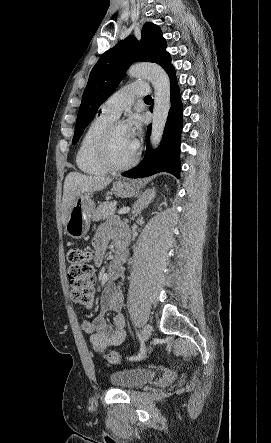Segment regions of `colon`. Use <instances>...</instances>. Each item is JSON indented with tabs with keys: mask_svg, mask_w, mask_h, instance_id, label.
<instances>
[{
	"mask_svg": "<svg viewBox=\"0 0 271 443\" xmlns=\"http://www.w3.org/2000/svg\"><path fill=\"white\" fill-rule=\"evenodd\" d=\"M70 263L68 277L71 284V297L74 302L84 308L94 305L95 275L92 264L93 254L89 249L72 248L67 253ZM104 358L111 364L120 362L121 357L115 351H105Z\"/></svg>",
	"mask_w": 271,
	"mask_h": 443,
	"instance_id": "1",
	"label": "colon"
}]
</instances>
